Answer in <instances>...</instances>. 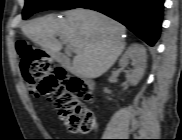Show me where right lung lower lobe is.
Listing matches in <instances>:
<instances>
[{"label": "right lung lower lobe", "instance_id": "98d812e1", "mask_svg": "<svg viewBox=\"0 0 182 140\" xmlns=\"http://www.w3.org/2000/svg\"><path fill=\"white\" fill-rule=\"evenodd\" d=\"M164 0H88L81 8L99 11L124 24L148 45L159 38Z\"/></svg>", "mask_w": 182, "mask_h": 140}]
</instances>
